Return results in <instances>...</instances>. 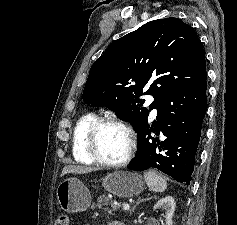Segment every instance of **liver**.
Wrapping results in <instances>:
<instances>
[{
	"label": "liver",
	"mask_w": 237,
	"mask_h": 225,
	"mask_svg": "<svg viewBox=\"0 0 237 225\" xmlns=\"http://www.w3.org/2000/svg\"><path fill=\"white\" fill-rule=\"evenodd\" d=\"M98 168H92V167H84V166H73V165H68L65 166L62 170L61 176H64L66 174H85L93 171H97Z\"/></svg>",
	"instance_id": "obj_1"
}]
</instances>
